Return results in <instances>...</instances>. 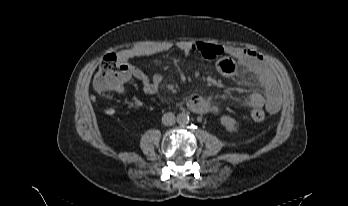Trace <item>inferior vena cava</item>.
Here are the masks:
<instances>
[{"label": "inferior vena cava", "mask_w": 348, "mask_h": 206, "mask_svg": "<svg viewBox=\"0 0 348 206\" xmlns=\"http://www.w3.org/2000/svg\"><path fill=\"white\" fill-rule=\"evenodd\" d=\"M175 115L172 112H167L162 116V123L166 126H171L175 123Z\"/></svg>", "instance_id": "obj_1"}]
</instances>
